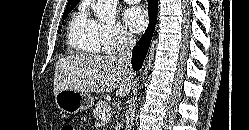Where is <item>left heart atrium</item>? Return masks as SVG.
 Segmentation results:
<instances>
[{"mask_svg":"<svg viewBox=\"0 0 249 130\" xmlns=\"http://www.w3.org/2000/svg\"><path fill=\"white\" fill-rule=\"evenodd\" d=\"M123 18L126 26L133 33L143 31L148 23V15L140 6H132L125 9Z\"/></svg>","mask_w":249,"mask_h":130,"instance_id":"left-heart-atrium-1","label":"left heart atrium"}]
</instances>
